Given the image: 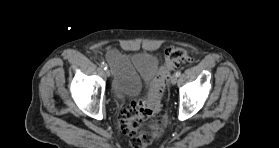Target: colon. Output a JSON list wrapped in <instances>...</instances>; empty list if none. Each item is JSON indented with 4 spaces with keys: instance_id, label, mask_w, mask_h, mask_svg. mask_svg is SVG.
<instances>
[{
    "instance_id": "obj_1",
    "label": "colon",
    "mask_w": 279,
    "mask_h": 148,
    "mask_svg": "<svg viewBox=\"0 0 279 148\" xmlns=\"http://www.w3.org/2000/svg\"><path fill=\"white\" fill-rule=\"evenodd\" d=\"M187 50L170 46L165 51L164 64L156 73L153 86L146 100L133 101L121 113V129L130 136L133 148H148L163 133V122L156 116L161 107L162 93L169 76L181 63L190 62Z\"/></svg>"
}]
</instances>
